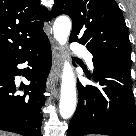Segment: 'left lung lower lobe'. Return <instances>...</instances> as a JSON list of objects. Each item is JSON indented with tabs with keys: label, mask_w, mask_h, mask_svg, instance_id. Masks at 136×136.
I'll return each mask as SVG.
<instances>
[{
	"label": "left lung lower lobe",
	"mask_w": 136,
	"mask_h": 136,
	"mask_svg": "<svg viewBox=\"0 0 136 136\" xmlns=\"http://www.w3.org/2000/svg\"><path fill=\"white\" fill-rule=\"evenodd\" d=\"M93 65L95 80L101 87L78 84L79 102L69 125L68 136H136L130 68L95 57Z\"/></svg>",
	"instance_id": "1"
}]
</instances>
